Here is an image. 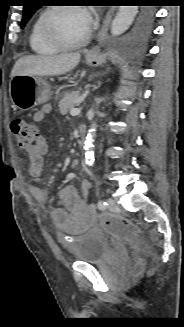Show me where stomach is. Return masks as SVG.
Segmentation results:
<instances>
[{
  "mask_svg": "<svg viewBox=\"0 0 184 327\" xmlns=\"http://www.w3.org/2000/svg\"><path fill=\"white\" fill-rule=\"evenodd\" d=\"M100 61L99 55H86V63L93 65ZM10 96L13 105L22 110H29L46 103L51 97L49 84L41 77L18 74L10 81Z\"/></svg>",
  "mask_w": 184,
  "mask_h": 327,
  "instance_id": "0dacf381",
  "label": "stomach"
}]
</instances>
